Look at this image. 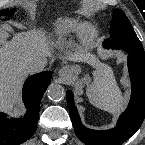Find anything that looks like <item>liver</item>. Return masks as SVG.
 Wrapping results in <instances>:
<instances>
[{
  "label": "liver",
  "mask_w": 145,
  "mask_h": 145,
  "mask_svg": "<svg viewBox=\"0 0 145 145\" xmlns=\"http://www.w3.org/2000/svg\"><path fill=\"white\" fill-rule=\"evenodd\" d=\"M50 55L44 32L32 30L14 35L0 47V111H11L19 99V91L27 76L25 66L39 57ZM87 62L97 68L96 77L109 69L102 67L94 56L74 53L66 57Z\"/></svg>",
  "instance_id": "6515ba94"
}]
</instances>
